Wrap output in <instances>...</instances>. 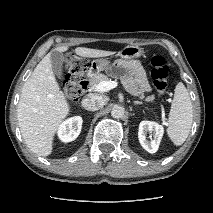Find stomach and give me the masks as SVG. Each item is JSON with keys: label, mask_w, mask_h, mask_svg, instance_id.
<instances>
[{"label": "stomach", "mask_w": 213, "mask_h": 213, "mask_svg": "<svg viewBox=\"0 0 213 213\" xmlns=\"http://www.w3.org/2000/svg\"><path fill=\"white\" fill-rule=\"evenodd\" d=\"M144 53L143 48L135 45H130L124 47L118 52V56L123 60H131L142 56ZM110 66V61L108 59H97L91 62L89 67V73L95 74L100 71L107 70Z\"/></svg>", "instance_id": "1"}]
</instances>
